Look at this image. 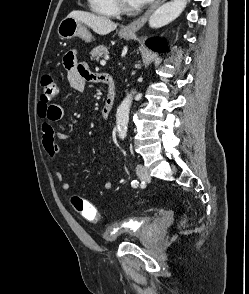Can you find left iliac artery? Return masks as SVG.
<instances>
[{"mask_svg":"<svg viewBox=\"0 0 249 294\" xmlns=\"http://www.w3.org/2000/svg\"><path fill=\"white\" fill-rule=\"evenodd\" d=\"M131 185H132L133 187H137V186H138V181H137V180H133V181L131 182Z\"/></svg>","mask_w":249,"mask_h":294,"instance_id":"obj_1","label":"left iliac artery"}]
</instances>
